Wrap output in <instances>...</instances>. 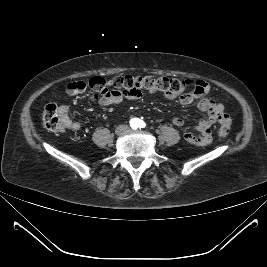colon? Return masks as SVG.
<instances>
[{
  "label": "colon",
  "instance_id": "obj_1",
  "mask_svg": "<svg viewBox=\"0 0 267 267\" xmlns=\"http://www.w3.org/2000/svg\"><path fill=\"white\" fill-rule=\"evenodd\" d=\"M111 84L115 90L131 97H140L143 94H173L179 93L185 88V83L179 79L152 75L117 76L111 81ZM43 122L50 131L59 132L64 129L55 104L51 103L45 107ZM218 122L220 124L219 136L221 138L227 137L231 129V118L223 112L218 116Z\"/></svg>",
  "mask_w": 267,
  "mask_h": 267
}]
</instances>
